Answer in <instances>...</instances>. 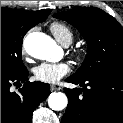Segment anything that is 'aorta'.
<instances>
[{
  "label": "aorta",
  "instance_id": "aorta-1",
  "mask_svg": "<svg viewBox=\"0 0 123 123\" xmlns=\"http://www.w3.org/2000/svg\"><path fill=\"white\" fill-rule=\"evenodd\" d=\"M23 46L29 55L47 61H54L55 54L58 52L55 41L39 32L28 34L24 39ZM48 104L52 110L61 111L66 108L68 99L64 93L53 92L48 97Z\"/></svg>",
  "mask_w": 123,
  "mask_h": 123
}]
</instances>
